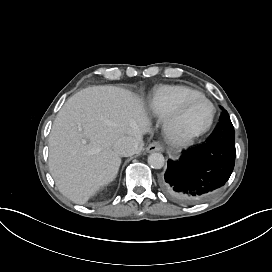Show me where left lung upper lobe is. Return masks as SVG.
Instances as JSON below:
<instances>
[{
  "instance_id": "left-lung-upper-lobe-1",
  "label": "left lung upper lobe",
  "mask_w": 272,
  "mask_h": 272,
  "mask_svg": "<svg viewBox=\"0 0 272 272\" xmlns=\"http://www.w3.org/2000/svg\"><path fill=\"white\" fill-rule=\"evenodd\" d=\"M221 109L222 113L219 124L213 135L207 140V142H215L235 146V133L233 125L229 118L228 112L222 107Z\"/></svg>"
}]
</instances>
